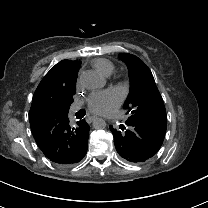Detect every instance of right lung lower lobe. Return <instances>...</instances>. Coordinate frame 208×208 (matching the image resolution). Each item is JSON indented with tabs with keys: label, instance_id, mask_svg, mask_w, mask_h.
<instances>
[{
	"label": "right lung lower lobe",
	"instance_id": "right-lung-lower-lobe-1",
	"mask_svg": "<svg viewBox=\"0 0 208 208\" xmlns=\"http://www.w3.org/2000/svg\"><path fill=\"white\" fill-rule=\"evenodd\" d=\"M32 134L44 155L57 164H74L87 153L90 127L85 120L69 125L67 114L29 113Z\"/></svg>",
	"mask_w": 208,
	"mask_h": 208
}]
</instances>
